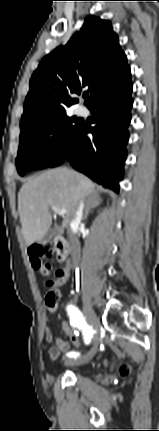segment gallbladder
<instances>
[{"instance_id":"1","label":"gallbladder","mask_w":159,"mask_h":431,"mask_svg":"<svg viewBox=\"0 0 159 431\" xmlns=\"http://www.w3.org/2000/svg\"><path fill=\"white\" fill-rule=\"evenodd\" d=\"M55 233H56V230L54 228H49V230L40 239V243L45 244L49 242L53 238Z\"/></svg>"}]
</instances>
